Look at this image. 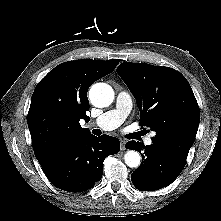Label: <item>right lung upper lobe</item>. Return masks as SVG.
Returning a JSON list of instances; mask_svg holds the SVG:
<instances>
[{
  "mask_svg": "<svg viewBox=\"0 0 221 221\" xmlns=\"http://www.w3.org/2000/svg\"><path fill=\"white\" fill-rule=\"evenodd\" d=\"M119 60H78L56 66L36 86L27 122L35 156L44 163L91 135L80 126L89 121L88 88L111 73Z\"/></svg>",
  "mask_w": 221,
  "mask_h": 221,
  "instance_id": "1",
  "label": "right lung upper lobe"
}]
</instances>
